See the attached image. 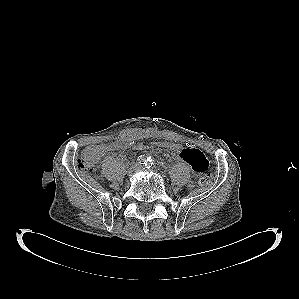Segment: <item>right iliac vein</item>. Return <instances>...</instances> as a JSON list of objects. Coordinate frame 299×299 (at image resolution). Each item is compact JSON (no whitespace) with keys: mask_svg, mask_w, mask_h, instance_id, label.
<instances>
[{"mask_svg":"<svg viewBox=\"0 0 299 299\" xmlns=\"http://www.w3.org/2000/svg\"><path fill=\"white\" fill-rule=\"evenodd\" d=\"M138 169L137 164H131L127 169V174L131 176Z\"/></svg>","mask_w":299,"mask_h":299,"instance_id":"63e3f726","label":"right iliac vein"}]
</instances>
